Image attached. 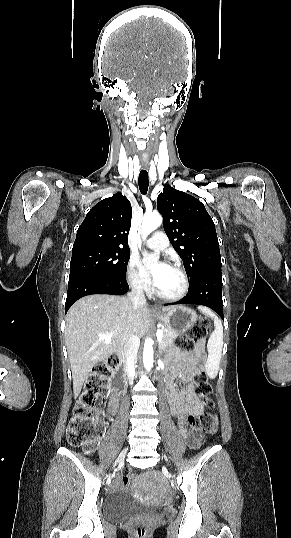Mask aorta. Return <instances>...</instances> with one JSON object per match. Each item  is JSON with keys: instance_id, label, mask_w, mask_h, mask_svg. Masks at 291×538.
<instances>
[{"instance_id": "obj_1", "label": "aorta", "mask_w": 291, "mask_h": 538, "mask_svg": "<svg viewBox=\"0 0 291 538\" xmlns=\"http://www.w3.org/2000/svg\"><path fill=\"white\" fill-rule=\"evenodd\" d=\"M162 223V217L159 213L152 212L146 214L143 218L141 233L145 239L152 231L158 228ZM158 257L154 258V261H157ZM153 344L154 341L152 338L147 337L144 343L143 349V363L147 371H150L153 367Z\"/></svg>"}]
</instances>
